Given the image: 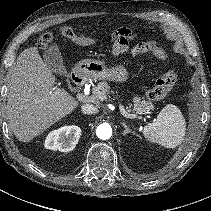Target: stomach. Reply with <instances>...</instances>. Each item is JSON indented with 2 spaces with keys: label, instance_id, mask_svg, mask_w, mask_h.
<instances>
[{
  "label": "stomach",
  "instance_id": "1",
  "mask_svg": "<svg viewBox=\"0 0 211 211\" xmlns=\"http://www.w3.org/2000/svg\"><path fill=\"white\" fill-rule=\"evenodd\" d=\"M76 70L88 77L98 80H109L118 83H125L129 73L124 66L108 68L104 62L85 59L77 63Z\"/></svg>",
  "mask_w": 211,
  "mask_h": 211
}]
</instances>
